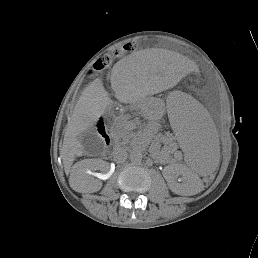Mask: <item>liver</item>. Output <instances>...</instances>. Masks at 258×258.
Instances as JSON below:
<instances>
[{
    "label": "liver",
    "instance_id": "6515ba94",
    "mask_svg": "<svg viewBox=\"0 0 258 258\" xmlns=\"http://www.w3.org/2000/svg\"><path fill=\"white\" fill-rule=\"evenodd\" d=\"M159 75H162L159 67L142 60L140 52H137L114 65L111 87L116 98L120 102L126 103L129 101L131 91L139 77ZM110 103L111 99L102 80L96 78L83 91L67 124L62 146V159L65 171L70 172L69 184L77 192H88L90 189V186L84 181L85 175L78 173L79 168L75 167L74 171L71 170L75 156H81L84 151L78 136L93 127Z\"/></svg>",
    "mask_w": 258,
    "mask_h": 258
}]
</instances>
